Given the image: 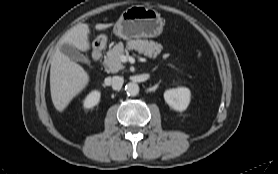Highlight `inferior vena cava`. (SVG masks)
Returning a JSON list of instances; mask_svg holds the SVG:
<instances>
[{"mask_svg": "<svg viewBox=\"0 0 278 174\" xmlns=\"http://www.w3.org/2000/svg\"><path fill=\"white\" fill-rule=\"evenodd\" d=\"M124 83V79L120 76H113L111 79V85L114 90H120Z\"/></svg>", "mask_w": 278, "mask_h": 174, "instance_id": "obj_1", "label": "inferior vena cava"}]
</instances>
